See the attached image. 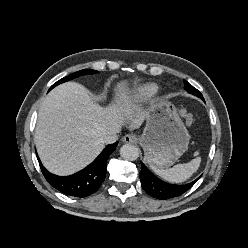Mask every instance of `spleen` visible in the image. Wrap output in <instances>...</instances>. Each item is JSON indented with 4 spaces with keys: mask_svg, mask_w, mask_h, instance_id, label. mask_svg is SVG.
<instances>
[{
    "mask_svg": "<svg viewBox=\"0 0 248 248\" xmlns=\"http://www.w3.org/2000/svg\"><path fill=\"white\" fill-rule=\"evenodd\" d=\"M199 154V151L194 153L195 156ZM201 163V158L196 157L188 163L177 164L174 167L164 170L157 167L151 166L152 170L159 175L161 178L165 179L171 183H181L189 179L193 173H195Z\"/></svg>",
    "mask_w": 248,
    "mask_h": 248,
    "instance_id": "obj_1",
    "label": "spleen"
}]
</instances>
